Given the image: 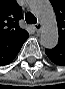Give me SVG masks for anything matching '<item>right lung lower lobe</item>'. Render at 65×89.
<instances>
[{
    "instance_id": "1",
    "label": "right lung lower lobe",
    "mask_w": 65,
    "mask_h": 89,
    "mask_svg": "<svg viewBox=\"0 0 65 89\" xmlns=\"http://www.w3.org/2000/svg\"><path fill=\"white\" fill-rule=\"evenodd\" d=\"M23 43L20 44L18 47L12 49L11 51L8 52L0 51V66L7 65L10 62H12L13 59L16 57L17 53L19 52V50L21 49Z\"/></svg>"
}]
</instances>
